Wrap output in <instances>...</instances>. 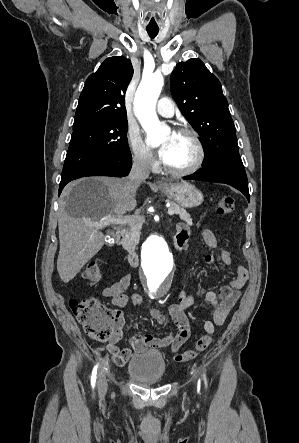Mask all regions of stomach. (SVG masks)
<instances>
[{
	"label": "stomach",
	"mask_w": 299,
	"mask_h": 443,
	"mask_svg": "<svg viewBox=\"0 0 299 443\" xmlns=\"http://www.w3.org/2000/svg\"><path fill=\"white\" fill-rule=\"evenodd\" d=\"M159 189L181 207L194 208L203 202L202 192L188 182H169Z\"/></svg>",
	"instance_id": "0dacf381"
}]
</instances>
